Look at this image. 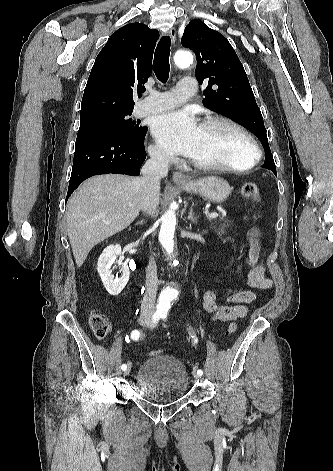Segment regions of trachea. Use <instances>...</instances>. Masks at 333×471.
Wrapping results in <instances>:
<instances>
[{"label":"trachea","mask_w":333,"mask_h":471,"mask_svg":"<svg viewBox=\"0 0 333 471\" xmlns=\"http://www.w3.org/2000/svg\"><path fill=\"white\" fill-rule=\"evenodd\" d=\"M170 37L163 36L155 50L154 55V73L157 79L162 82L166 83L169 78L170 72V64H169V56H170Z\"/></svg>","instance_id":"1"}]
</instances>
